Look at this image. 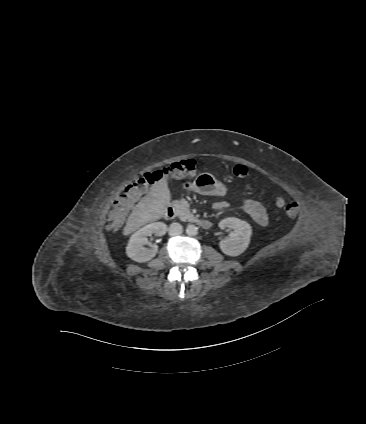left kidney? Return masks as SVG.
<instances>
[{
    "label": "left kidney",
    "mask_w": 366,
    "mask_h": 424,
    "mask_svg": "<svg viewBox=\"0 0 366 424\" xmlns=\"http://www.w3.org/2000/svg\"><path fill=\"white\" fill-rule=\"evenodd\" d=\"M219 227L221 229L226 227L233 229L229 234V238L223 239L219 243V247L224 254L238 256L247 249L252 235L249 223L235 217H228L220 221Z\"/></svg>",
    "instance_id": "1"
}]
</instances>
